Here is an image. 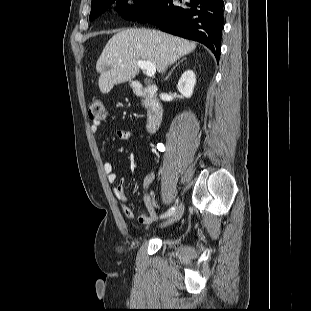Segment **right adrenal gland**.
<instances>
[{"label":"right adrenal gland","mask_w":311,"mask_h":311,"mask_svg":"<svg viewBox=\"0 0 311 311\" xmlns=\"http://www.w3.org/2000/svg\"><path fill=\"white\" fill-rule=\"evenodd\" d=\"M186 58L182 59L181 61H179L174 67L173 69L170 71V73L168 74V76L165 78V81H167L169 79V77L171 76L172 72L176 69V67H178L180 65V63H182Z\"/></svg>","instance_id":"1"}]
</instances>
